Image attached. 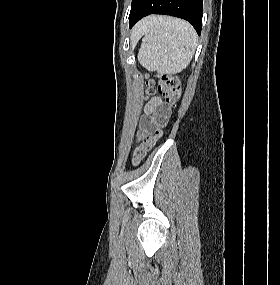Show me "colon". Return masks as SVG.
<instances>
[{"label":"colon","instance_id":"colon-1","mask_svg":"<svg viewBox=\"0 0 280 285\" xmlns=\"http://www.w3.org/2000/svg\"><path fill=\"white\" fill-rule=\"evenodd\" d=\"M153 82L151 79L146 78V85L151 89ZM159 92L164 97L168 105L175 107L176 102L180 96V89L177 79L170 74H162L159 76ZM165 121L158 120L150 126L147 133L142 136L141 143L134 150V161H140L146 153L155 144L156 140L162 133V127Z\"/></svg>","mask_w":280,"mask_h":285}]
</instances>
